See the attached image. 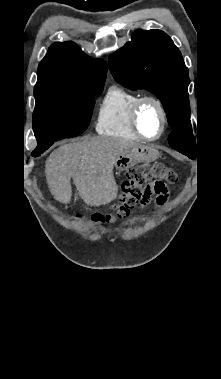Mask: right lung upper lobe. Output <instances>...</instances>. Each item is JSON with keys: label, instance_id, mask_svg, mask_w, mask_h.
<instances>
[{"label": "right lung upper lobe", "instance_id": "obj_1", "mask_svg": "<svg viewBox=\"0 0 221 379\" xmlns=\"http://www.w3.org/2000/svg\"><path fill=\"white\" fill-rule=\"evenodd\" d=\"M106 73L103 60H90L74 42H57L39 64L34 96L104 86Z\"/></svg>", "mask_w": 221, "mask_h": 379}]
</instances>
